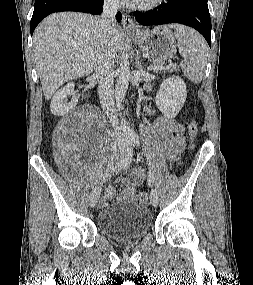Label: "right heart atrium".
Listing matches in <instances>:
<instances>
[{
	"label": "right heart atrium",
	"mask_w": 253,
	"mask_h": 285,
	"mask_svg": "<svg viewBox=\"0 0 253 285\" xmlns=\"http://www.w3.org/2000/svg\"><path fill=\"white\" fill-rule=\"evenodd\" d=\"M110 4H117L119 2V0H107Z\"/></svg>",
	"instance_id": "1"
}]
</instances>
